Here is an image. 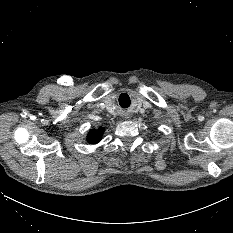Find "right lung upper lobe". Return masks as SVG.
<instances>
[{
    "label": "right lung upper lobe",
    "instance_id": "obj_1",
    "mask_svg": "<svg viewBox=\"0 0 233 233\" xmlns=\"http://www.w3.org/2000/svg\"><path fill=\"white\" fill-rule=\"evenodd\" d=\"M103 132L104 128L102 127L98 130H91L88 134L87 141L92 144L98 143L102 138Z\"/></svg>",
    "mask_w": 233,
    "mask_h": 233
}]
</instances>
